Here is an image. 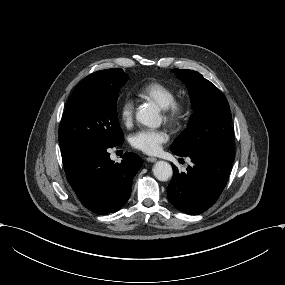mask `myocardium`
<instances>
[{
	"label": "myocardium",
	"mask_w": 285,
	"mask_h": 285,
	"mask_svg": "<svg viewBox=\"0 0 285 285\" xmlns=\"http://www.w3.org/2000/svg\"><path fill=\"white\" fill-rule=\"evenodd\" d=\"M161 108L164 121L176 123L184 116L188 108V100L182 96H175L168 104Z\"/></svg>",
	"instance_id": "obj_1"
}]
</instances>
